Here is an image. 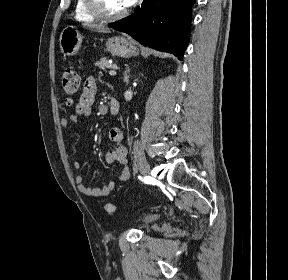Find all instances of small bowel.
Segmentation results:
<instances>
[{
	"mask_svg": "<svg viewBox=\"0 0 288 280\" xmlns=\"http://www.w3.org/2000/svg\"><path fill=\"white\" fill-rule=\"evenodd\" d=\"M97 93V83L93 77H88L84 83L82 93L79 97L78 103L75 107V112L62 118L60 124L62 127H68L73 123H80L84 119H87L92 113V105ZM109 138L114 144L113 148L105 154V162L107 164H119L120 175L118 182H124L129 177V163L127 159V149L123 144V132L120 128L113 127L109 131ZM74 167L80 169L82 167L81 162H74ZM76 185L79 191L87 196L91 197H106L117 186V182L110 181L108 184L92 188L85 184L82 176H76Z\"/></svg>",
	"mask_w": 288,
	"mask_h": 280,
	"instance_id": "small-bowel-1",
	"label": "small bowel"
}]
</instances>
